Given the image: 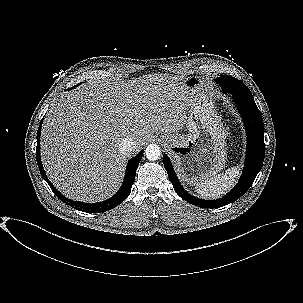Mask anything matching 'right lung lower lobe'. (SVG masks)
I'll return each mask as SVG.
<instances>
[{
	"mask_svg": "<svg viewBox=\"0 0 303 303\" xmlns=\"http://www.w3.org/2000/svg\"><path fill=\"white\" fill-rule=\"evenodd\" d=\"M42 122H43V119L40 123L39 129L37 132L36 161L38 163V167H39L42 177L45 178V180L47 181V183L49 184L51 189L56 193V196L61 201L70 205L71 207H74L81 211H86L89 213H101V212L108 211V210L113 209L114 207L118 206L129 196V194L131 192V187L135 180V174H136L137 167H138L139 162L143 155V150L140 151L135 157L130 159L129 162L127 163L126 173H125V178H124L123 184L114 196H112L111 198H109L105 201L99 202V203H83V202L73 201V200H70V199L66 198L65 196H63L53 186V184L47 179L46 174L44 172L42 162H41V156H40V134H41Z\"/></svg>",
	"mask_w": 303,
	"mask_h": 303,
	"instance_id": "right-lung-lower-lobe-1",
	"label": "right lung lower lobe"
}]
</instances>
